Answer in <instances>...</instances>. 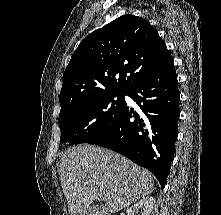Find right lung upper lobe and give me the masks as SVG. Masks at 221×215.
Instances as JSON below:
<instances>
[{"mask_svg": "<svg viewBox=\"0 0 221 215\" xmlns=\"http://www.w3.org/2000/svg\"><path fill=\"white\" fill-rule=\"evenodd\" d=\"M170 59V51L147 20L121 16L88 35L73 53L63 74L61 108L106 93H127Z\"/></svg>", "mask_w": 221, "mask_h": 215, "instance_id": "right-lung-upper-lobe-1", "label": "right lung upper lobe"}]
</instances>
